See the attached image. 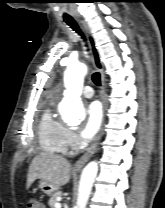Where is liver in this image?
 Returning <instances> with one entry per match:
<instances>
[{
  "label": "liver",
  "mask_w": 165,
  "mask_h": 208,
  "mask_svg": "<svg viewBox=\"0 0 165 208\" xmlns=\"http://www.w3.org/2000/svg\"><path fill=\"white\" fill-rule=\"evenodd\" d=\"M70 162L60 155L40 153L32 160L28 176L27 188L36 179L44 180L57 188L66 185L70 180Z\"/></svg>",
  "instance_id": "liver-1"
}]
</instances>
